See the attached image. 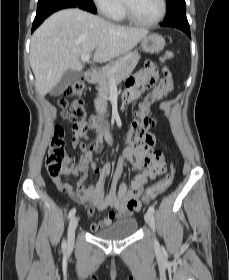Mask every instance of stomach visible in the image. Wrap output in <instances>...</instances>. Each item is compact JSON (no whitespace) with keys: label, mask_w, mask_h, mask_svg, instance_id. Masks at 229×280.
I'll use <instances>...</instances> for the list:
<instances>
[{"label":"stomach","mask_w":229,"mask_h":280,"mask_svg":"<svg viewBox=\"0 0 229 280\" xmlns=\"http://www.w3.org/2000/svg\"><path fill=\"white\" fill-rule=\"evenodd\" d=\"M164 46L165 40L159 34H150L141 40V48L146 53H159L163 50Z\"/></svg>","instance_id":"1"}]
</instances>
